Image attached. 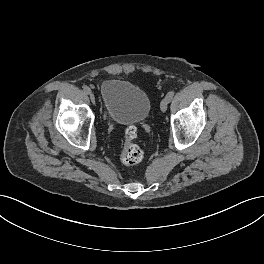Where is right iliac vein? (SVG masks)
Segmentation results:
<instances>
[{"label":"right iliac vein","mask_w":264,"mask_h":264,"mask_svg":"<svg viewBox=\"0 0 264 264\" xmlns=\"http://www.w3.org/2000/svg\"><path fill=\"white\" fill-rule=\"evenodd\" d=\"M90 99L93 103H95V96L92 92L89 93Z\"/></svg>","instance_id":"1"}]
</instances>
